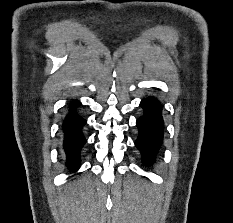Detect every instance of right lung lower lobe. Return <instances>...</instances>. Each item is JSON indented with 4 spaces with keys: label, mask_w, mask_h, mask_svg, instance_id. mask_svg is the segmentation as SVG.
Instances as JSON below:
<instances>
[{
    "label": "right lung lower lobe",
    "mask_w": 233,
    "mask_h": 223,
    "mask_svg": "<svg viewBox=\"0 0 233 223\" xmlns=\"http://www.w3.org/2000/svg\"><path fill=\"white\" fill-rule=\"evenodd\" d=\"M80 105L78 101H73L70 104L71 108H76ZM86 120L75 113H70L63 122L62 128L65 134L64 149L67 154L66 165L71 170H76L80 164V150L86 140L81 132Z\"/></svg>",
    "instance_id": "obj_1"
}]
</instances>
